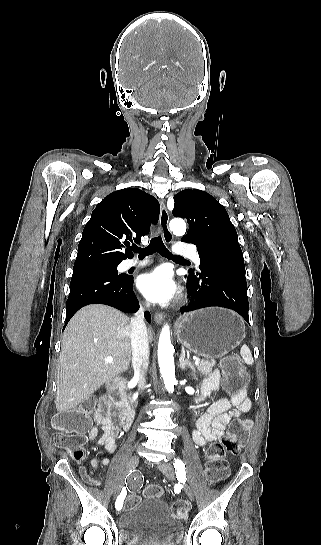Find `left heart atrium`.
Masks as SVG:
<instances>
[{"instance_id": "left-heart-atrium-1", "label": "left heart atrium", "mask_w": 321, "mask_h": 545, "mask_svg": "<svg viewBox=\"0 0 321 545\" xmlns=\"http://www.w3.org/2000/svg\"><path fill=\"white\" fill-rule=\"evenodd\" d=\"M138 289L150 301L161 304L169 302L179 291L171 272L166 268L142 275L138 280Z\"/></svg>"}]
</instances>
